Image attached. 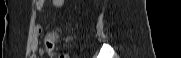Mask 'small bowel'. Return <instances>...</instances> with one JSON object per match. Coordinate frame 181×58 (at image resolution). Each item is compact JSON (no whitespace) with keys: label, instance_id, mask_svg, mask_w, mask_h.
<instances>
[{"label":"small bowel","instance_id":"small-bowel-1","mask_svg":"<svg viewBox=\"0 0 181 58\" xmlns=\"http://www.w3.org/2000/svg\"><path fill=\"white\" fill-rule=\"evenodd\" d=\"M52 3L56 8H62L66 5L65 0H53ZM43 6H44V0L36 1L35 7L38 12H40L43 9ZM40 33H41V27L39 25H37L34 29L35 39L32 43V52L33 53H36V51L38 49V36L40 35ZM47 39L53 40V37L48 36Z\"/></svg>","mask_w":181,"mask_h":58}]
</instances>
